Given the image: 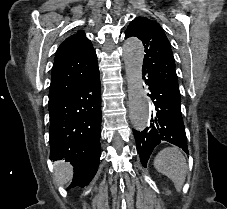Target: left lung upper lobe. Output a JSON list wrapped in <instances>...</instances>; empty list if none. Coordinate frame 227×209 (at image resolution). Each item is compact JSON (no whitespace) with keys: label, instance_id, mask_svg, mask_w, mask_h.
<instances>
[{"label":"left lung upper lobe","instance_id":"5c2ea615","mask_svg":"<svg viewBox=\"0 0 227 209\" xmlns=\"http://www.w3.org/2000/svg\"><path fill=\"white\" fill-rule=\"evenodd\" d=\"M131 36L139 38L145 47L143 75L180 95L171 45L160 25L148 18L136 17L129 24L125 39Z\"/></svg>","mask_w":227,"mask_h":209}]
</instances>
